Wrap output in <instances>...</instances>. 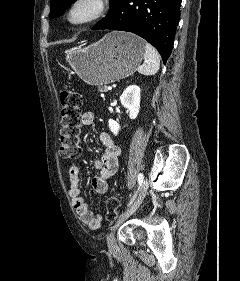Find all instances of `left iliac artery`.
<instances>
[{
  "label": "left iliac artery",
  "mask_w": 240,
  "mask_h": 281,
  "mask_svg": "<svg viewBox=\"0 0 240 281\" xmlns=\"http://www.w3.org/2000/svg\"><path fill=\"white\" fill-rule=\"evenodd\" d=\"M143 179H144V176H143L142 173H140V174L138 175V183H139V186H141V184H142V182H143ZM136 195H137V192H136V194L134 195L133 199L131 200L130 204L133 202V200H134V198L136 197ZM130 204H129V205H130Z\"/></svg>",
  "instance_id": "left-iliac-artery-1"
}]
</instances>
